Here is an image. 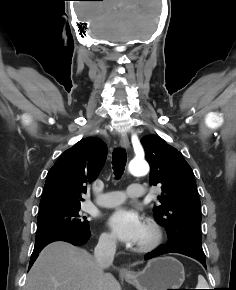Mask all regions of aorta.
Masks as SVG:
<instances>
[{"label": "aorta", "mask_w": 236, "mask_h": 290, "mask_svg": "<svg viewBox=\"0 0 236 290\" xmlns=\"http://www.w3.org/2000/svg\"><path fill=\"white\" fill-rule=\"evenodd\" d=\"M148 171L149 166L144 160L134 159L129 163L128 172L133 176H144Z\"/></svg>", "instance_id": "obj_1"}]
</instances>
